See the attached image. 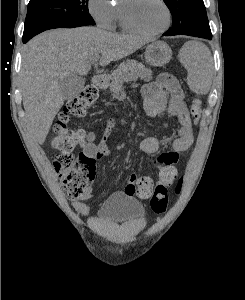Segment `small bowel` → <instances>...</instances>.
Listing matches in <instances>:
<instances>
[{
  "label": "small bowel",
  "instance_id": "1",
  "mask_svg": "<svg viewBox=\"0 0 245 300\" xmlns=\"http://www.w3.org/2000/svg\"><path fill=\"white\" fill-rule=\"evenodd\" d=\"M143 99V109L147 116L156 117L168 110L171 116L179 122V129L176 137L172 140L171 150L165 152L156 159L154 166L159 170V177L155 183V190H166L171 188L177 179L175 164L178 162L179 153L188 150L194 141L193 126L187 105L184 101V93L178 80L168 73H161L154 82H148L143 85L141 90ZM115 126V119H109L106 123L103 139L96 143V134L93 131L85 135L82 155L92 158L95 161L102 157L110 156L111 152L107 145V140ZM161 141L154 136L142 139L139 143V149L145 154H154L159 151ZM138 176L132 174L129 176L127 185L124 189L126 195L133 196L136 192ZM92 197L87 192L81 199L72 202L73 208L78 213H86L88 206L85 201Z\"/></svg>",
  "mask_w": 245,
  "mask_h": 300
}]
</instances>
